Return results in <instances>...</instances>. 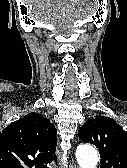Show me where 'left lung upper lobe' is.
<instances>
[{
  "instance_id": "5c2ea615",
  "label": "left lung upper lobe",
  "mask_w": 127,
  "mask_h": 168,
  "mask_svg": "<svg viewBox=\"0 0 127 168\" xmlns=\"http://www.w3.org/2000/svg\"><path fill=\"white\" fill-rule=\"evenodd\" d=\"M83 142L92 143L101 157V168H127V132L112 118L99 116L78 131Z\"/></svg>"
}]
</instances>
